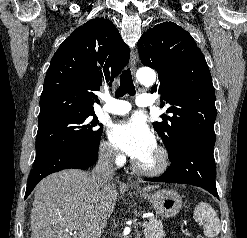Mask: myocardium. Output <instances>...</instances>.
I'll list each match as a JSON object with an SVG mask.
<instances>
[{
  "label": "myocardium",
  "instance_id": "obj_1",
  "mask_svg": "<svg viewBox=\"0 0 247 238\" xmlns=\"http://www.w3.org/2000/svg\"><path fill=\"white\" fill-rule=\"evenodd\" d=\"M156 162L153 166L148 167L140 164L138 161L134 162L133 167L135 171L145 176H158L166 171L169 164L167 152L164 148L156 146L154 148Z\"/></svg>",
  "mask_w": 247,
  "mask_h": 238
}]
</instances>
